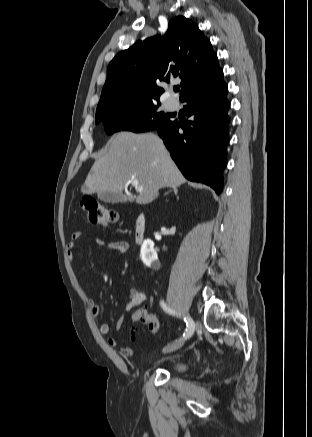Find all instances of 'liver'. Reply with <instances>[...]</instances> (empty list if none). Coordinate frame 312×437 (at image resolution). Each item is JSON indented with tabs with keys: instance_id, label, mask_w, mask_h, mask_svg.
Here are the masks:
<instances>
[{
	"instance_id": "1",
	"label": "liver",
	"mask_w": 312,
	"mask_h": 437,
	"mask_svg": "<svg viewBox=\"0 0 312 437\" xmlns=\"http://www.w3.org/2000/svg\"><path fill=\"white\" fill-rule=\"evenodd\" d=\"M107 154L98 158L82 188L84 194L107 191L121 194L132 180L143 190L136 203H151L158 191L186 182L163 141L154 133L120 132L109 140Z\"/></svg>"
}]
</instances>
